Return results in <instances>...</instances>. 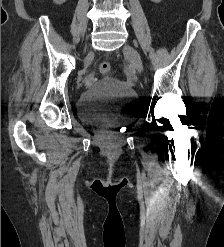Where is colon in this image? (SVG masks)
I'll use <instances>...</instances> for the list:
<instances>
[{
    "label": "colon",
    "mask_w": 224,
    "mask_h": 247,
    "mask_svg": "<svg viewBox=\"0 0 224 247\" xmlns=\"http://www.w3.org/2000/svg\"><path fill=\"white\" fill-rule=\"evenodd\" d=\"M112 68H111V64L107 61H103L99 64L98 66V71L99 74L102 76H107L110 74Z\"/></svg>",
    "instance_id": "5ec220e1"
}]
</instances>
